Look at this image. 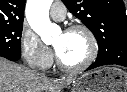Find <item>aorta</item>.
<instances>
[{
	"label": "aorta",
	"mask_w": 127,
	"mask_h": 92,
	"mask_svg": "<svg viewBox=\"0 0 127 92\" xmlns=\"http://www.w3.org/2000/svg\"><path fill=\"white\" fill-rule=\"evenodd\" d=\"M51 4L52 0H28L26 4L27 21L45 43L50 42L54 33L59 30L49 19Z\"/></svg>",
	"instance_id": "aorta-1"
}]
</instances>
